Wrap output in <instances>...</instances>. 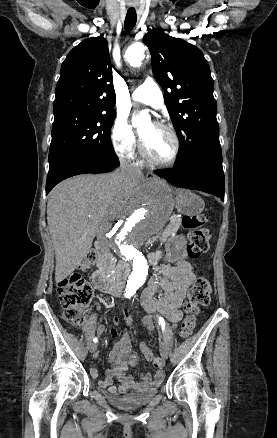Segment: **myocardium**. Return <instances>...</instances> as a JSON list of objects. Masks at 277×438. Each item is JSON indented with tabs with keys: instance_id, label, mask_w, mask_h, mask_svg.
I'll return each instance as SVG.
<instances>
[{
	"instance_id": "f54148a6",
	"label": "myocardium",
	"mask_w": 277,
	"mask_h": 438,
	"mask_svg": "<svg viewBox=\"0 0 277 438\" xmlns=\"http://www.w3.org/2000/svg\"><path fill=\"white\" fill-rule=\"evenodd\" d=\"M153 124L156 127H158L160 129H162L163 131H165L173 139V142H174V152H173V155H172L171 159L168 160V161L157 160L155 157L152 156V154L148 150V147H147L146 143L144 142V140L140 136L139 141H140L141 154H142V156L145 158V160L147 162H149L150 164H152L154 166H158V167H170V166H172V165H174L176 163V161H177V159L179 157V154H180L181 144H180L179 136H178V134L176 133V131L172 127H170L169 125H167V124H165L163 122L154 121Z\"/></svg>"
}]
</instances>
